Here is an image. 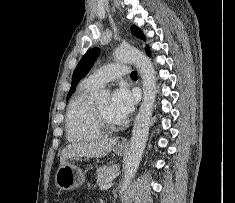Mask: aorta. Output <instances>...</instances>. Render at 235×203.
Here are the masks:
<instances>
[{
  "instance_id": "762f6f07",
  "label": "aorta",
  "mask_w": 235,
  "mask_h": 203,
  "mask_svg": "<svg viewBox=\"0 0 235 203\" xmlns=\"http://www.w3.org/2000/svg\"><path fill=\"white\" fill-rule=\"evenodd\" d=\"M114 57L117 61L135 65L143 82V99L134 121L130 149L125 164V175L121 189L123 193L128 189L139 167L146 146L156 98L157 79L152 62L141 51L131 47H120L116 49Z\"/></svg>"
}]
</instances>
